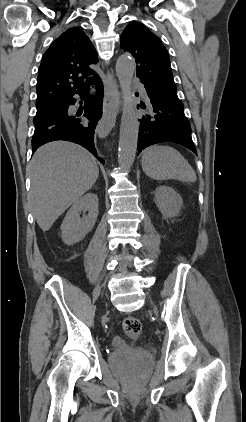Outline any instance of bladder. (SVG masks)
I'll return each mask as SVG.
<instances>
[{"label": "bladder", "mask_w": 246, "mask_h": 422, "mask_svg": "<svg viewBox=\"0 0 246 422\" xmlns=\"http://www.w3.org/2000/svg\"><path fill=\"white\" fill-rule=\"evenodd\" d=\"M150 352L141 349H131L124 346L116 347L109 356V362L113 367L130 365L137 369H146L153 363Z\"/></svg>", "instance_id": "obj_1"}]
</instances>
